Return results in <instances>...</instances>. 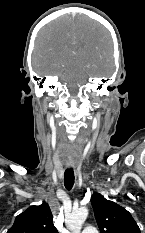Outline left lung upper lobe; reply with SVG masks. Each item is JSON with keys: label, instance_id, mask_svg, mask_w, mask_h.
I'll return each instance as SVG.
<instances>
[{"label": "left lung upper lobe", "instance_id": "5c2ea615", "mask_svg": "<svg viewBox=\"0 0 145 233\" xmlns=\"http://www.w3.org/2000/svg\"><path fill=\"white\" fill-rule=\"evenodd\" d=\"M91 203L101 233H140L131 214L115 202L94 193Z\"/></svg>", "mask_w": 145, "mask_h": 233}]
</instances>
